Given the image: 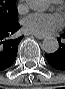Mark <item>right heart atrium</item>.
Returning <instances> with one entry per match:
<instances>
[{
	"label": "right heart atrium",
	"mask_w": 65,
	"mask_h": 89,
	"mask_svg": "<svg viewBox=\"0 0 65 89\" xmlns=\"http://www.w3.org/2000/svg\"><path fill=\"white\" fill-rule=\"evenodd\" d=\"M18 9H19V11H21V12L26 11V9H27V4H26V2H24V1L20 2L19 5H18Z\"/></svg>",
	"instance_id": "obj_1"
}]
</instances>
